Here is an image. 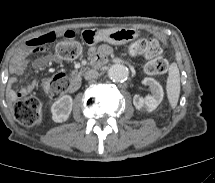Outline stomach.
<instances>
[{
  "mask_svg": "<svg viewBox=\"0 0 215 183\" xmlns=\"http://www.w3.org/2000/svg\"><path fill=\"white\" fill-rule=\"evenodd\" d=\"M139 37V31L134 28H109L94 31L93 43L105 41L112 45H124Z\"/></svg>",
  "mask_w": 215,
  "mask_h": 183,
  "instance_id": "0dacf381",
  "label": "stomach"
}]
</instances>
